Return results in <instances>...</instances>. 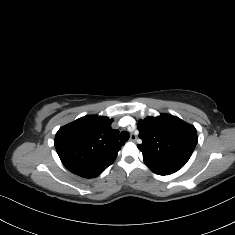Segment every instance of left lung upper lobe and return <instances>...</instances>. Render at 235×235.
Segmentation results:
<instances>
[{
	"label": "left lung upper lobe",
	"instance_id": "5c2ea615",
	"mask_svg": "<svg viewBox=\"0 0 235 235\" xmlns=\"http://www.w3.org/2000/svg\"><path fill=\"white\" fill-rule=\"evenodd\" d=\"M143 158L184 166L198 142L197 131L176 116L146 117L138 125Z\"/></svg>",
	"mask_w": 235,
	"mask_h": 235
}]
</instances>
